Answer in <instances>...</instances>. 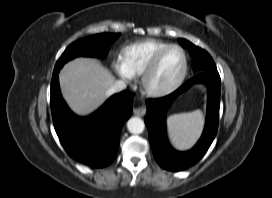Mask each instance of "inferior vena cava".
<instances>
[{
  "label": "inferior vena cava",
  "instance_id": "inferior-vena-cava-1",
  "mask_svg": "<svg viewBox=\"0 0 272 198\" xmlns=\"http://www.w3.org/2000/svg\"><path fill=\"white\" fill-rule=\"evenodd\" d=\"M125 88H126L125 82L122 80H117L108 89L107 94L111 95V94L120 92V91L124 90Z\"/></svg>",
  "mask_w": 272,
  "mask_h": 198
}]
</instances>
